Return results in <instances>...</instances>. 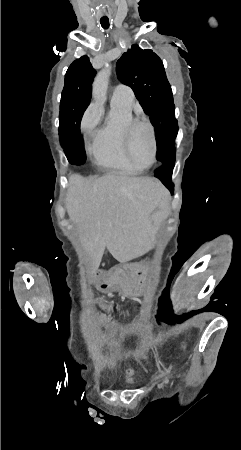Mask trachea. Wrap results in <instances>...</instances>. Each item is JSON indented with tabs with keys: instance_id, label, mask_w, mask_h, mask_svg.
<instances>
[{
	"instance_id": "obj_1",
	"label": "trachea",
	"mask_w": 241,
	"mask_h": 450,
	"mask_svg": "<svg viewBox=\"0 0 241 450\" xmlns=\"http://www.w3.org/2000/svg\"><path fill=\"white\" fill-rule=\"evenodd\" d=\"M101 25L104 29H107L109 27V22H101Z\"/></svg>"
}]
</instances>
